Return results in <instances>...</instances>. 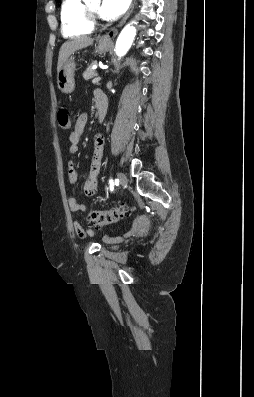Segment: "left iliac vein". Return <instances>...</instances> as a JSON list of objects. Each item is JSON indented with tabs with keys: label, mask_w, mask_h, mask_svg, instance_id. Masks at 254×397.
<instances>
[{
	"label": "left iliac vein",
	"mask_w": 254,
	"mask_h": 397,
	"mask_svg": "<svg viewBox=\"0 0 254 397\" xmlns=\"http://www.w3.org/2000/svg\"><path fill=\"white\" fill-rule=\"evenodd\" d=\"M117 177L120 181L121 186L126 187L128 184V179H127L126 175L122 172H118Z\"/></svg>",
	"instance_id": "4c4485c4"
}]
</instances>
